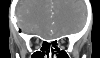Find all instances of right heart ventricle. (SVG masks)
<instances>
[{
  "instance_id": "obj_1",
  "label": "right heart ventricle",
  "mask_w": 100,
  "mask_h": 58,
  "mask_svg": "<svg viewBox=\"0 0 100 58\" xmlns=\"http://www.w3.org/2000/svg\"><path fill=\"white\" fill-rule=\"evenodd\" d=\"M38 5H39V6H44V5H43V4H41V3H38Z\"/></svg>"
}]
</instances>
